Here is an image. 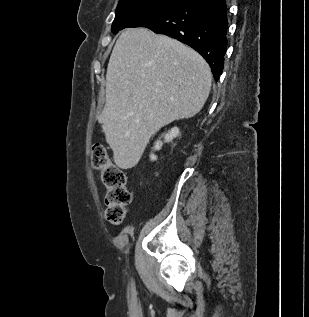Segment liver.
Listing matches in <instances>:
<instances>
[{
	"label": "liver",
	"mask_w": 309,
	"mask_h": 317,
	"mask_svg": "<svg viewBox=\"0 0 309 317\" xmlns=\"http://www.w3.org/2000/svg\"><path fill=\"white\" fill-rule=\"evenodd\" d=\"M211 81L209 65L183 43L146 28L124 30L109 59L98 117L116 165L134 167L163 126L199 113Z\"/></svg>",
	"instance_id": "obj_1"
}]
</instances>
